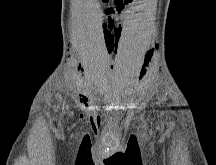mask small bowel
I'll list each match as a JSON object with an SVG mask.
<instances>
[{
    "mask_svg": "<svg viewBox=\"0 0 216 165\" xmlns=\"http://www.w3.org/2000/svg\"><path fill=\"white\" fill-rule=\"evenodd\" d=\"M129 2H132V0H127L126 3ZM120 10L121 9H119V11ZM104 18L102 34L106 42V47L109 53H116L124 36L123 23L116 19L113 9H108Z\"/></svg>",
    "mask_w": 216,
    "mask_h": 165,
    "instance_id": "c3829d8e",
    "label": "small bowel"
}]
</instances>
